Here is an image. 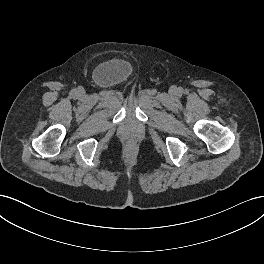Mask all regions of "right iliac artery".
Returning a JSON list of instances; mask_svg holds the SVG:
<instances>
[{"instance_id": "obj_1", "label": "right iliac artery", "mask_w": 264, "mask_h": 264, "mask_svg": "<svg viewBox=\"0 0 264 264\" xmlns=\"http://www.w3.org/2000/svg\"><path fill=\"white\" fill-rule=\"evenodd\" d=\"M73 93L75 94L76 93V90H73Z\"/></svg>"}]
</instances>
